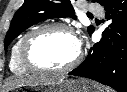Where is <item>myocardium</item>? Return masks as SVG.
Segmentation results:
<instances>
[{
  "mask_svg": "<svg viewBox=\"0 0 127 92\" xmlns=\"http://www.w3.org/2000/svg\"><path fill=\"white\" fill-rule=\"evenodd\" d=\"M52 30L65 31L70 33L76 38V34L73 28L64 23H50L31 30L22 40L19 49L20 62L29 72L38 73V74H62L71 71L79 64L81 60L80 49L78 50L77 55L72 61H70L68 64L60 68L40 67L33 62L29 53L32 43L36 38H38L42 34Z\"/></svg>",
  "mask_w": 127,
  "mask_h": 92,
  "instance_id": "obj_1",
  "label": "myocardium"
}]
</instances>
